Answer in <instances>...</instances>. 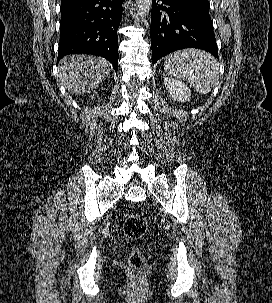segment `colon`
Segmentation results:
<instances>
[{
  "label": "colon",
  "mask_w": 272,
  "mask_h": 303,
  "mask_svg": "<svg viewBox=\"0 0 272 303\" xmlns=\"http://www.w3.org/2000/svg\"><path fill=\"white\" fill-rule=\"evenodd\" d=\"M148 228L146 219L137 214L127 216L123 223L124 233L130 239L142 238ZM129 265L134 274L141 273L146 266V260L140 248H134L129 255Z\"/></svg>",
  "instance_id": "colon-1"
}]
</instances>
